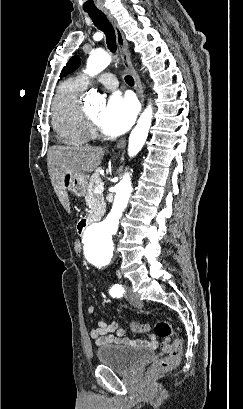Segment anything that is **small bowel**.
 <instances>
[{
	"label": "small bowel",
	"mask_w": 243,
	"mask_h": 409,
	"mask_svg": "<svg viewBox=\"0 0 243 409\" xmlns=\"http://www.w3.org/2000/svg\"><path fill=\"white\" fill-rule=\"evenodd\" d=\"M87 312L89 314H93L95 312L94 306H89L87 308ZM90 336L97 346L106 344H121L149 349H156L158 347V341L154 334H150L147 339H130L125 337V331L119 328L118 324L114 321L109 323L98 322L97 325L91 329ZM161 347L165 352L170 350L169 346L162 345Z\"/></svg>",
	"instance_id": "1"
}]
</instances>
